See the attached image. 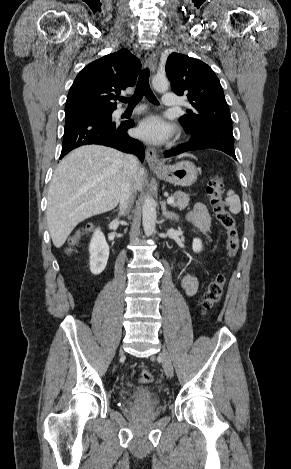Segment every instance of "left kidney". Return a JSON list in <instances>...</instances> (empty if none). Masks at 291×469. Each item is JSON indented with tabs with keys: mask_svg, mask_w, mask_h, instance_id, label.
Segmentation results:
<instances>
[{
	"mask_svg": "<svg viewBox=\"0 0 291 469\" xmlns=\"http://www.w3.org/2000/svg\"><path fill=\"white\" fill-rule=\"evenodd\" d=\"M192 248L195 253H198L202 250V242L200 239L195 238L192 243Z\"/></svg>",
	"mask_w": 291,
	"mask_h": 469,
	"instance_id": "5707ae66",
	"label": "left kidney"
}]
</instances>
